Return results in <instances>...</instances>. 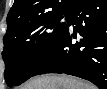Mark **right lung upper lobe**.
Instances as JSON below:
<instances>
[{
  "label": "right lung upper lobe",
  "mask_w": 107,
  "mask_h": 89,
  "mask_svg": "<svg viewBox=\"0 0 107 89\" xmlns=\"http://www.w3.org/2000/svg\"><path fill=\"white\" fill-rule=\"evenodd\" d=\"M77 2L78 0H15L7 16V25L69 12Z\"/></svg>",
  "instance_id": "right-lung-upper-lobe-1"
}]
</instances>
